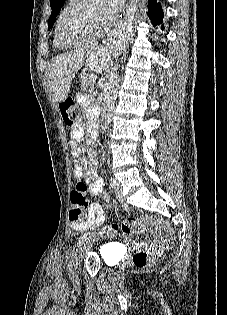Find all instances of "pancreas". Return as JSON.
Here are the masks:
<instances>
[{"label": "pancreas", "instance_id": "1", "mask_svg": "<svg viewBox=\"0 0 227 315\" xmlns=\"http://www.w3.org/2000/svg\"><path fill=\"white\" fill-rule=\"evenodd\" d=\"M92 74L81 75L80 82H81V89L86 92H91L95 82L90 81Z\"/></svg>", "mask_w": 227, "mask_h": 315}]
</instances>
